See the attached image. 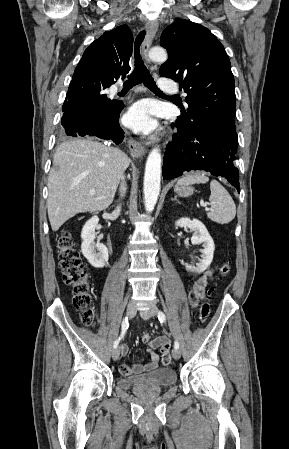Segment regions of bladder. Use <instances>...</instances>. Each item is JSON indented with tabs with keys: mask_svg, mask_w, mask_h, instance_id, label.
I'll return each mask as SVG.
<instances>
[{
	"mask_svg": "<svg viewBox=\"0 0 289 449\" xmlns=\"http://www.w3.org/2000/svg\"><path fill=\"white\" fill-rule=\"evenodd\" d=\"M176 380L177 375L172 368H159L148 373L119 377L116 385L124 390L167 388Z\"/></svg>",
	"mask_w": 289,
	"mask_h": 449,
	"instance_id": "obj_1",
	"label": "bladder"
}]
</instances>
